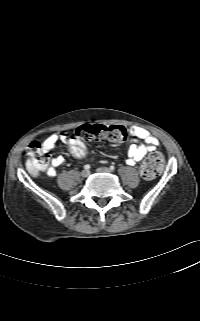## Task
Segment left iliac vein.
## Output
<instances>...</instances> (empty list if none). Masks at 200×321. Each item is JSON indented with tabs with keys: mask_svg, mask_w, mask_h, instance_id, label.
Returning a JSON list of instances; mask_svg holds the SVG:
<instances>
[{
	"mask_svg": "<svg viewBox=\"0 0 200 321\" xmlns=\"http://www.w3.org/2000/svg\"><path fill=\"white\" fill-rule=\"evenodd\" d=\"M97 172H99V173H110L111 170L109 168H107V167H99L97 169Z\"/></svg>",
	"mask_w": 200,
	"mask_h": 321,
	"instance_id": "left-iliac-vein-1",
	"label": "left iliac vein"
}]
</instances>
